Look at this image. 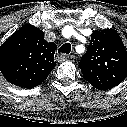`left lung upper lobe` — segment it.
Listing matches in <instances>:
<instances>
[{"label":"left lung upper lobe","instance_id":"5c2ea615","mask_svg":"<svg viewBox=\"0 0 127 127\" xmlns=\"http://www.w3.org/2000/svg\"><path fill=\"white\" fill-rule=\"evenodd\" d=\"M83 77L97 89H110L127 77V51L114 29L95 31L79 62Z\"/></svg>","mask_w":127,"mask_h":127}]
</instances>
